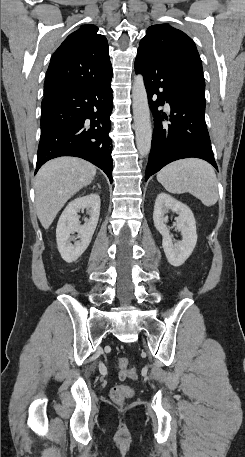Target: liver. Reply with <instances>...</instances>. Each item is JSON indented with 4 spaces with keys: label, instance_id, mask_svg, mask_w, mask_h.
<instances>
[{
    "label": "liver",
    "instance_id": "6515ba94",
    "mask_svg": "<svg viewBox=\"0 0 245 457\" xmlns=\"http://www.w3.org/2000/svg\"><path fill=\"white\" fill-rule=\"evenodd\" d=\"M95 174L94 164L75 156L53 158L39 168L35 182V204L44 229H49L68 198L90 184Z\"/></svg>",
    "mask_w": 245,
    "mask_h": 457
}]
</instances>
